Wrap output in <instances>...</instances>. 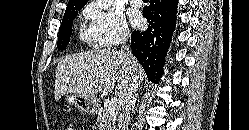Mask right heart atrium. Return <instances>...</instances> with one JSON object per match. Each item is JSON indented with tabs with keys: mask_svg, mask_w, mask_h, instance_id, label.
<instances>
[{
	"mask_svg": "<svg viewBox=\"0 0 249 130\" xmlns=\"http://www.w3.org/2000/svg\"><path fill=\"white\" fill-rule=\"evenodd\" d=\"M89 21V35L99 48H110L123 43L130 30L124 15L114 8L104 9L97 3H89L83 10Z\"/></svg>",
	"mask_w": 249,
	"mask_h": 130,
	"instance_id": "d8ad5b80",
	"label": "right heart atrium"
}]
</instances>
